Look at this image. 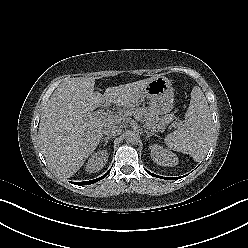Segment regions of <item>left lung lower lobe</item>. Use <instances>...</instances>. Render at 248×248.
<instances>
[{
  "mask_svg": "<svg viewBox=\"0 0 248 248\" xmlns=\"http://www.w3.org/2000/svg\"><path fill=\"white\" fill-rule=\"evenodd\" d=\"M146 172L154 177H158V178H163V179H178V177H175V178H168V177H162V176H158V175H155V174H152L151 172L147 171ZM180 178V177H179Z\"/></svg>",
  "mask_w": 248,
  "mask_h": 248,
  "instance_id": "obj_1",
  "label": "left lung lower lobe"
}]
</instances>
